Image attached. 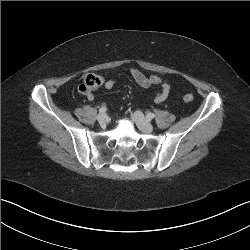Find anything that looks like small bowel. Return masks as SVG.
I'll return each instance as SVG.
<instances>
[{
    "mask_svg": "<svg viewBox=\"0 0 250 250\" xmlns=\"http://www.w3.org/2000/svg\"><path fill=\"white\" fill-rule=\"evenodd\" d=\"M130 74L132 78L134 79V81L143 88H148V87L155 86V85L160 86L159 91L154 96L155 103H162L168 98L171 92V86L168 83V81H166L165 79L156 75L147 76L138 69H131ZM115 82H116L115 79L110 78V79L103 81L102 85L106 89H111L115 85ZM93 91L94 89L89 90L84 93L87 99L90 101L94 100V97H95Z\"/></svg>",
    "mask_w": 250,
    "mask_h": 250,
    "instance_id": "c3829d8e",
    "label": "small bowel"
}]
</instances>
